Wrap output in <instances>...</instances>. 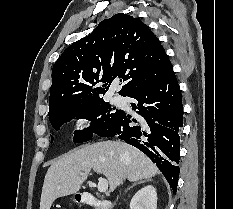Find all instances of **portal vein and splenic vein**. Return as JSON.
Returning a JSON list of instances; mask_svg holds the SVG:
<instances>
[{
  "instance_id": "1",
  "label": "portal vein and splenic vein",
  "mask_w": 233,
  "mask_h": 209,
  "mask_svg": "<svg viewBox=\"0 0 233 209\" xmlns=\"http://www.w3.org/2000/svg\"><path fill=\"white\" fill-rule=\"evenodd\" d=\"M97 188H98V191L101 193L106 192L108 190V181L104 178H99Z\"/></svg>"
}]
</instances>
